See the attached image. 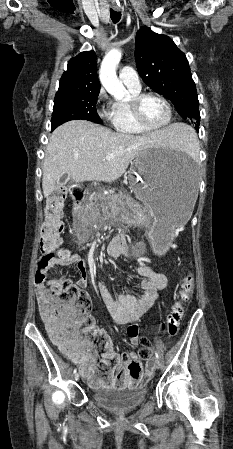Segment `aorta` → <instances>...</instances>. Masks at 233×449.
<instances>
[{"label": "aorta", "instance_id": "1", "mask_svg": "<svg viewBox=\"0 0 233 449\" xmlns=\"http://www.w3.org/2000/svg\"><path fill=\"white\" fill-rule=\"evenodd\" d=\"M122 54L119 49H112L104 57L100 71L99 78L109 94L120 100L124 97L126 89L122 82L119 81L116 68L121 60Z\"/></svg>", "mask_w": 233, "mask_h": 449}]
</instances>
